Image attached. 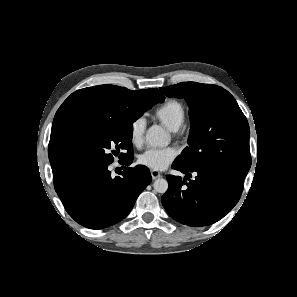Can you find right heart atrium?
I'll list each match as a JSON object with an SVG mask.
<instances>
[{
	"mask_svg": "<svg viewBox=\"0 0 297 297\" xmlns=\"http://www.w3.org/2000/svg\"><path fill=\"white\" fill-rule=\"evenodd\" d=\"M146 120L142 116L133 119L129 125V137L134 146H141L146 130Z\"/></svg>",
	"mask_w": 297,
	"mask_h": 297,
	"instance_id": "1",
	"label": "right heart atrium"
}]
</instances>
